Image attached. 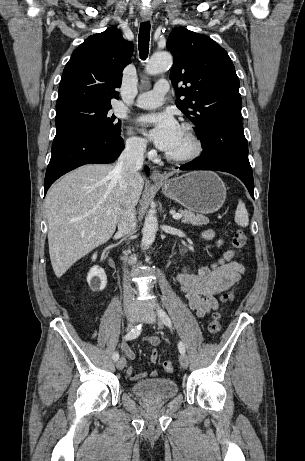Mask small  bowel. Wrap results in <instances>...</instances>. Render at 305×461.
Segmentation results:
<instances>
[{"label":"small bowel","mask_w":305,"mask_h":461,"mask_svg":"<svg viewBox=\"0 0 305 461\" xmlns=\"http://www.w3.org/2000/svg\"><path fill=\"white\" fill-rule=\"evenodd\" d=\"M216 233L213 230H206L202 233L205 240H213ZM222 239L216 240L217 246H222ZM236 251L227 249L216 261L209 265L200 267L196 272L183 270L177 277L180 290L186 299L189 308L195 312L198 317H204L211 311L216 310L219 306L217 295L234 286L245 271L242 263L235 260ZM161 340L158 336H149L143 339V344L149 352L150 362L158 363V353L156 347ZM121 350L126 354L128 359L135 358L134 352L125 343L121 344ZM132 379L142 378L145 373L133 374L132 369L128 370ZM150 375L156 377V370Z\"/></svg>","instance_id":"obj_1"}]
</instances>
